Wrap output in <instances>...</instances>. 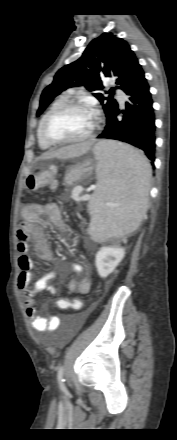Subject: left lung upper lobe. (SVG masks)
<instances>
[{
  "label": "left lung upper lobe",
  "mask_w": 177,
  "mask_h": 440,
  "mask_svg": "<svg viewBox=\"0 0 177 440\" xmlns=\"http://www.w3.org/2000/svg\"><path fill=\"white\" fill-rule=\"evenodd\" d=\"M141 70L138 59L125 40L113 33H103L91 41L78 60L65 65L56 73L53 82L41 95L37 116L67 88L84 85L89 91H99L103 89L104 78H114L118 88L125 91ZM106 93L113 94L114 89ZM93 95L103 105L106 117L118 106L111 97L106 98L101 93ZM104 100L107 102L104 103Z\"/></svg>",
  "instance_id": "obj_1"
}]
</instances>
